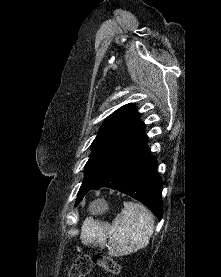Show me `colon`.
I'll return each instance as SVG.
<instances>
[{
  "mask_svg": "<svg viewBox=\"0 0 221 277\" xmlns=\"http://www.w3.org/2000/svg\"><path fill=\"white\" fill-rule=\"evenodd\" d=\"M94 265H97L112 274H117L120 270L119 265L113 259L107 256L98 254L90 256L87 254H82L73 260L69 271V276L84 277L91 272Z\"/></svg>",
  "mask_w": 221,
  "mask_h": 277,
  "instance_id": "5ec220e1",
  "label": "colon"
}]
</instances>
